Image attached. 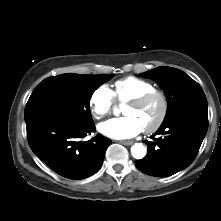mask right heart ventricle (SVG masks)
<instances>
[{
    "mask_svg": "<svg viewBox=\"0 0 221 221\" xmlns=\"http://www.w3.org/2000/svg\"><path fill=\"white\" fill-rule=\"evenodd\" d=\"M155 89V86L144 79L129 76L114 84V97L119 103H127Z\"/></svg>",
    "mask_w": 221,
    "mask_h": 221,
    "instance_id": "1",
    "label": "right heart ventricle"
}]
</instances>
